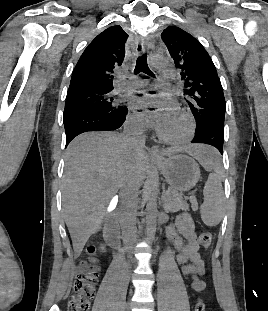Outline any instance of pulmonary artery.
Segmentation results:
<instances>
[{
    "label": "pulmonary artery",
    "mask_w": 268,
    "mask_h": 311,
    "mask_svg": "<svg viewBox=\"0 0 268 311\" xmlns=\"http://www.w3.org/2000/svg\"><path fill=\"white\" fill-rule=\"evenodd\" d=\"M175 73L173 70L171 69H165L161 72V80L162 81H170L174 78ZM147 84L146 80H136L134 82H122L118 89L123 91V90H127V89H131V88H139V87H143Z\"/></svg>",
    "instance_id": "1"
}]
</instances>
